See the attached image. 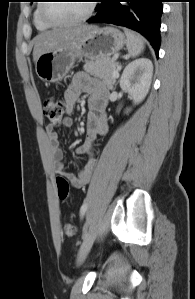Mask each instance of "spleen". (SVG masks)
Wrapping results in <instances>:
<instances>
[{
  "mask_svg": "<svg viewBox=\"0 0 195 299\" xmlns=\"http://www.w3.org/2000/svg\"><path fill=\"white\" fill-rule=\"evenodd\" d=\"M125 34L127 37L126 45L129 55L131 57H137L144 50V39L140 35L127 29L125 30Z\"/></svg>",
  "mask_w": 195,
  "mask_h": 299,
  "instance_id": "spleen-1",
  "label": "spleen"
}]
</instances>
